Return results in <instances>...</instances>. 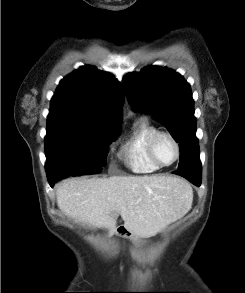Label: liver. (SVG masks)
Listing matches in <instances>:
<instances>
[{
  "instance_id": "obj_1",
  "label": "liver",
  "mask_w": 245,
  "mask_h": 293,
  "mask_svg": "<svg viewBox=\"0 0 245 293\" xmlns=\"http://www.w3.org/2000/svg\"><path fill=\"white\" fill-rule=\"evenodd\" d=\"M59 209L78 222L117 232L124 228L149 238L183 217L192 205L191 187L173 176H112L72 178L56 188Z\"/></svg>"
}]
</instances>
